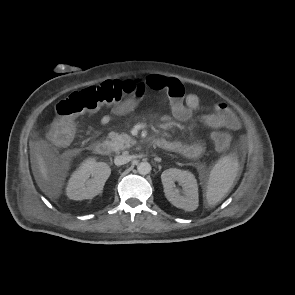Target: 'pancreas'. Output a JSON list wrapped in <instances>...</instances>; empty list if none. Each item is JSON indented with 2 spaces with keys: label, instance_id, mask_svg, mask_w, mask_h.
Segmentation results:
<instances>
[{
  "label": "pancreas",
  "instance_id": "pancreas-1",
  "mask_svg": "<svg viewBox=\"0 0 295 295\" xmlns=\"http://www.w3.org/2000/svg\"><path fill=\"white\" fill-rule=\"evenodd\" d=\"M107 138L110 139L111 149L116 153L130 148L135 143L132 137L125 133L118 134L116 132H110Z\"/></svg>",
  "mask_w": 295,
  "mask_h": 295
}]
</instances>
